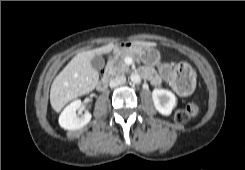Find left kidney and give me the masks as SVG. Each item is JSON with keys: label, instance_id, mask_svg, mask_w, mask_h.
<instances>
[{"label": "left kidney", "instance_id": "obj_1", "mask_svg": "<svg viewBox=\"0 0 245 170\" xmlns=\"http://www.w3.org/2000/svg\"><path fill=\"white\" fill-rule=\"evenodd\" d=\"M152 99L156 110L162 115L168 116L171 114L175 104V95L165 89H154L152 92Z\"/></svg>", "mask_w": 245, "mask_h": 170}]
</instances>
